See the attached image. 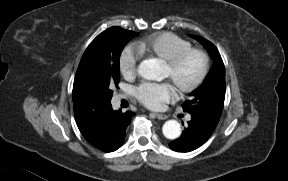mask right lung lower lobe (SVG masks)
I'll return each instance as SVG.
<instances>
[{
  "mask_svg": "<svg viewBox=\"0 0 288 181\" xmlns=\"http://www.w3.org/2000/svg\"><path fill=\"white\" fill-rule=\"evenodd\" d=\"M134 115L131 111L122 113L121 110L114 111L110 104L105 118L104 138L96 148L104 152H113L122 146L125 139V130Z\"/></svg>",
  "mask_w": 288,
  "mask_h": 181,
  "instance_id": "right-lung-lower-lobe-1",
  "label": "right lung lower lobe"
}]
</instances>
